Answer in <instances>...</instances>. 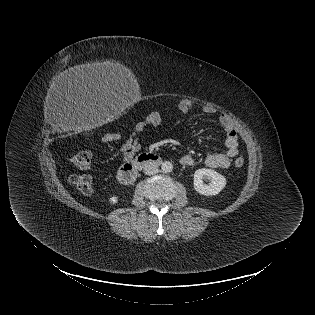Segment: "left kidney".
<instances>
[{"mask_svg":"<svg viewBox=\"0 0 315 315\" xmlns=\"http://www.w3.org/2000/svg\"><path fill=\"white\" fill-rule=\"evenodd\" d=\"M208 179L211 182L205 184L204 180ZM226 185V179L223 175L212 169H198L194 173V189L206 196L218 194Z\"/></svg>","mask_w":315,"mask_h":315,"instance_id":"left-kidney-1","label":"left kidney"}]
</instances>
